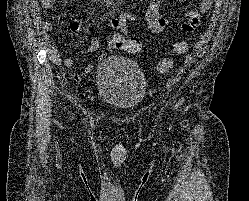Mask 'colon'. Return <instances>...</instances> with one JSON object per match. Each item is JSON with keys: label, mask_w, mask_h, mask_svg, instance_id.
<instances>
[{"label": "colon", "mask_w": 249, "mask_h": 201, "mask_svg": "<svg viewBox=\"0 0 249 201\" xmlns=\"http://www.w3.org/2000/svg\"><path fill=\"white\" fill-rule=\"evenodd\" d=\"M105 48L108 51H114L117 49H123L130 54H139L142 51V43L133 38H119L118 36H112L105 42ZM187 50V43L185 41H177L174 43L171 54L182 55ZM173 67V62L170 58L160 60L155 68L160 74L169 72Z\"/></svg>", "instance_id": "5ec220e1"}]
</instances>
